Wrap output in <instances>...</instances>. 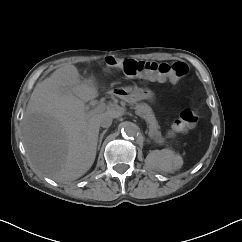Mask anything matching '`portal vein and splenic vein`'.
<instances>
[{
  "label": "portal vein and splenic vein",
  "mask_w": 242,
  "mask_h": 242,
  "mask_svg": "<svg viewBox=\"0 0 242 242\" xmlns=\"http://www.w3.org/2000/svg\"><path fill=\"white\" fill-rule=\"evenodd\" d=\"M109 110L110 107L108 105H106L105 103H100L96 106L95 109H93L92 113H99V112H103L105 110Z\"/></svg>",
  "instance_id": "18ae733b"
}]
</instances>
